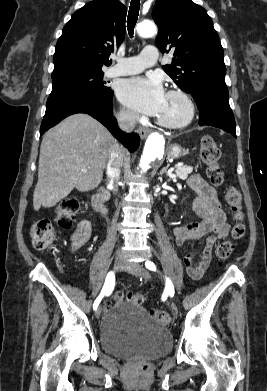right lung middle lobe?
<instances>
[{"label": "right lung middle lobe", "instance_id": "obj_1", "mask_svg": "<svg viewBox=\"0 0 267 391\" xmlns=\"http://www.w3.org/2000/svg\"><path fill=\"white\" fill-rule=\"evenodd\" d=\"M52 91L49 96L66 92H85L90 94L111 96L113 91L103 81V71H77L52 76Z\"/></svg>", "mask_w": 267, "mask_h": 391}]
</instances>
